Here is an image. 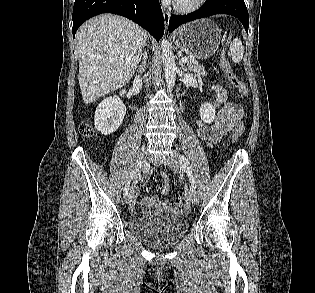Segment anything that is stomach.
I'll return each mask as SVG.
<instances>
[{"label":"stomach","instance_id":"obj_1","mask_svg":"<svg viewBox=\"0 0 315 293\" xmlns=\"http://www.w3.org/2000/svg\"><path fill=\"white\" fill-rule=\"evenodd\" d=\"M174 43L182 51L196 59H207L218 49L221 30L209 19L187 23L174 33Z\"/></svg>","mask_w":315,"mask_h":293}]
</instances>
